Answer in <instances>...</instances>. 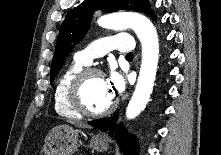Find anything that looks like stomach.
<instances>
[{
	"label": "stomach",
	"instance_id": "obj_1",
	"mask_svg": "<svg viewBox=\"0 0 221 155\" xmlns=\"http://www.w3.org/2000/svg\"><path fill=\"white\" fill-rule=\"evenodd\" d=\"M79 131L69 125L54 127L45 139L43 155H73L78 148ZM90 147L98 152L108 149L106 138L100 134L91 136Z\"/></svg>",
	"mask_w": 221,
	"mask_h": 155
}]
</instances>
